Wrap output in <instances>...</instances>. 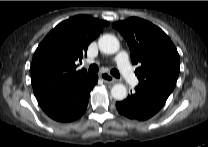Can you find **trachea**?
<instances>
[{
  "mask_svg": "<svg viewBox=\"0 0 208 147\" xmlns=\"http://www.w3.org/2000/svg\"><path fill=\"white\" fill-rule=\"evenodd\" d=\"M98 70H99V68H98V66L95 65V64L90 65L89 68H88V71H89V73H91V74L97 73ZM110 73H111L114 77L120 78V74H119V71H118L117 69H112V70L110 71Z\"/></svg>",
  "mask_w": 208,
  "mask_h": 147,
  "instance_id": "3493384b",
  "label": "trachea"
}]
</instances>
